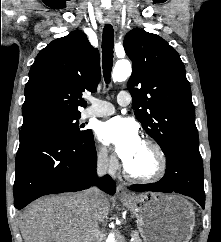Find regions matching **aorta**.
Listing matches in <instances>:
<instances>
[{
	"label": "aorta",
	"mask_w": 221,
	"mask_h": 242,
	"mask_svg": "<svg viewBox=\"0 0 221 242\" xmlns=\"http://www.w3.org/2000/svg\"><path fill=\"white\" fill-rule=\"evenodd\" d=\"M132 72L131 64L128 60H121L115 64L112 72V79L114 82L125 81ZM105 242H116L114 234L110 233Z\"/></svg>",
	"instance_id": "aorta-1"
}]
</instances>
